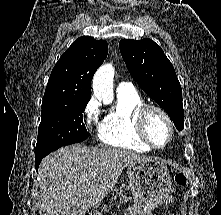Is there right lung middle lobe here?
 <instances>
[{
	"label": "right lung middle lobe",
	"mask_w": 221,
	"mask_h": 215,
	"mask_svg": "<svg viewBox=\"0 0 221 215\" xmlns=\"http://www.w3.org/2000/svg\"><path fill=\"white\" fill-rule=\"evenodd\" d=\"M89 100H58L42 103L35 157L88 138L83 112Z\"/></svg>",
	"instance_id": "dd1d6c3e"
}]
</instances>
